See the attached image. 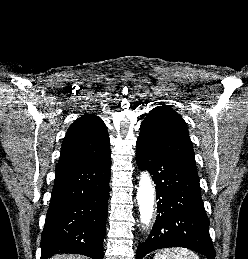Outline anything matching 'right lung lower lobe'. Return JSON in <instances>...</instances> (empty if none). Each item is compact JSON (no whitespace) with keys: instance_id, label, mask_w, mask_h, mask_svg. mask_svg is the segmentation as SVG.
<instances>
[{"instance_id":"obj_1","label":"right lung lower lobe","mask_w":248,"mask_h":259,"mask_svg":"<svg viewBox=\"0 0 248 259\" xmlns=\"http://www.w3.org/2000/svg\"><path fill=\"white\" fill-rule=\"evenodd\" d=\"M110 166L111 152L97 160L56 168L41 259L59 253L103 259Z\"/></svg>"}]
</instances>
